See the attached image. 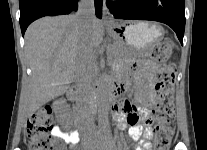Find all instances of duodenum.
<instances>
[{"instance_id": "duodenum-1", "label": "duodenum", "mask_w": 207, "mask_h": 150, "mask_svg": "<svg viewBox=\"0 0 207 150\" xmlns=\"http://www.w3.org/2000/svg\"><path fill=\"white\" fill-rule=\"evenodd\" d=\"M115 84L112 82H107L106 84L103 85V87L99 90V92H107L110 95L111 99H114L115 96ZM80 92V87L78 85H75L72 87L70 90V96L74 97ZM114 103V102H113Z\"/></svg>"}]
</instances>
